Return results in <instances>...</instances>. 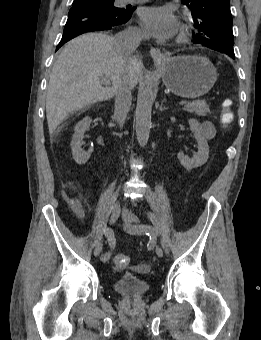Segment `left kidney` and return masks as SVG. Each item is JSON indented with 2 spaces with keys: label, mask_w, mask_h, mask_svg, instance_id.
I'll list each match as a JSON object with an SVG mask.
<instances>
[{
  "label": "left kidney",
  "mask_w": 261,
  "mask_h": 340,
  "mask_svg": "<svg viewBox=\"0 0 261 340\" xmlns=\"http://www.w3.org/2000/svg\"><path fill=\"white\" fill-rule=\"evenodd\" d=\"M190 129L195 135V139L198 144V152L194 154L192 158L184 155L182 152L178 153L177 157L181 165L186 170H192L194 168L201 167L204 165L209 158V146L207 139L202 133L201 125L196 119H190L189 121Z\"/></svg>",
  "instance_id": "obj_1"
}]
</instances>
